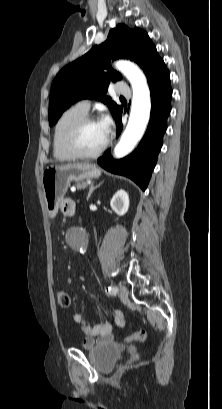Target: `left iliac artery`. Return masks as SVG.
<instances>
[{
	"label": "left iliac artery",
	"mask_w": 222,
	"mask_h": 409,
	"mask_svg": "<svg viewBox=\"0 0 222 409\" xmlns=\"http://www.w3.org/2000/svg\"><path fill=\"white\" fill-rule=\"evenodd\" d=\"M107 292H108L110 295H116L117 292H118V288H117V287H108V288H107Z\"/></svg>",
	"instance_id": "1"
}]
</instances>
